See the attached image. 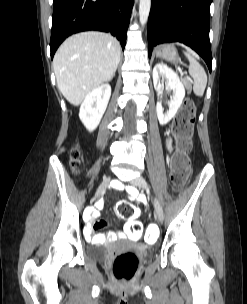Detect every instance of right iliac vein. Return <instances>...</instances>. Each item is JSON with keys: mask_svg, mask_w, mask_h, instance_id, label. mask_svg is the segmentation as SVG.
Segmentation results:
<instances>
[{"mask_svg": "<svg viewBox=\"0 0 247 304\" xmlns=\"http://www.w3.org/2000/svg\"><path fill=\"white\" fill-rule=\"evenodd\" d=\"M110 180H111L110 178H107V179H105V180L101 183V185L99 186V188H98V190H97V192H96L95 199L99 198L101 195L104 194V192L106 191V188H107V186H108Z\"/></svg>", "mask_w": 247, "mask_h": 304, "instance_id": "obj_1", "label": "right iliac vein"}]
</instances>
